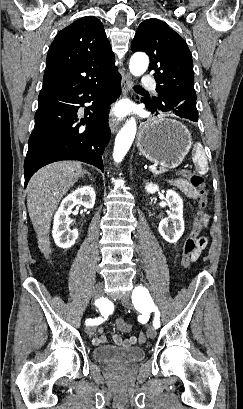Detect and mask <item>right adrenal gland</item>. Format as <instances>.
<instances>
[{
    "instance_id": "2a0ac1e0",
    "label": "right adrenal gland",
    "mask_w": 243,
    "mask_h": 409,
    "mask_svg": "<svg viewBox=\"0 0 243 409\" xmlns=\"http://www.w3.org/2000/svg\"><path fill=\"white\" fill-rule=\"evenodd\" d=\"M85 174H87L89 177L91 176V174L87 171H84Z\"/></svg>"
}]
</instances>
